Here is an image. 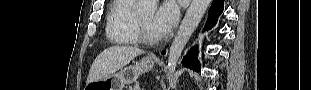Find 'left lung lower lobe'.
<instances>
[{
  "mask_svg": "<svg viewBox=\"0 0 311 90\" xmlns=\"http://www.w3.org/2000/svg\"><path fill=\"white\" fill-rule=\"evenodd\" d=\"M223 2L224 0H213L211 8L209 10V17L206 23L205 29L211 28L217 21L218 17L223 11ZM165 51L162 52L164 54ZM197 57V48L190 50L188 55L184 57L182 64L186 67H189L195 71H200V64L196 59Z\"/></svg>",
  "mask_w": 311,
  "mask_h": 90,
  "instance_id": "1",
  "label": "left lung lower lobe"
}]
</instances>
